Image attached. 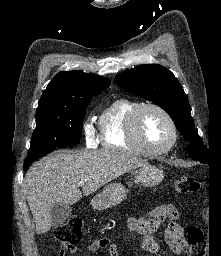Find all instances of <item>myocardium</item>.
Returning a JSON list of instances; mask_svg holds the SVG:
<instances>
[{
    "label": "myocardium",
    "instance_id": "1",
    "mask_svg": "<svg viewBox=\"0 0 221 256\" xmlns=\"http://www.w3.org/2000/svg\"><path fill=\"white\" fill-rule=\"evenodd\" d=\"M146 109H155L159 111L168 121L171 129V140L162 148H151L144 141L141 130L140 122L143 112ZM127 136L128 139L135 144L146 155L159 156L168 153L177 143L178 129L175 120L171 114L161 105L156 103H143L140 104L134 112L131 114L127 124Z\"/></svg>",
    "mask_w": 221,
    "mask_h": 256
}]
</instances>
